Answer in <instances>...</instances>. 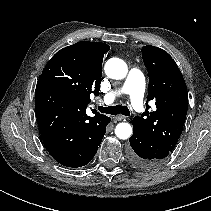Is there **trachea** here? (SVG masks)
Listing matches in <instances>:
<instances>
[{"label":"trachea","instance_id":"1","mask_svg":"<svg viewBox=\"0 0 211 211\" xmlns=\"http://www.w3.org/2000/svg\"><path fill=\"white\" fill-rule=\"evenodd\" d=\"M98 110L101 113H105V114L117 115L121 113L125 116H130V111L128 107L124 105H116V106H109V107L98 106Z\"/></svg>","mask_w":211,"mask_h":211}]
</instances>
